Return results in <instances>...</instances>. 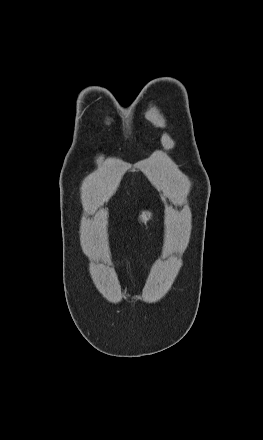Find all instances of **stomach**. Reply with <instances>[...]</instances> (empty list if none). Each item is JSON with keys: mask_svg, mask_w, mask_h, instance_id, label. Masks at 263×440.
Instances as JSON below:
<instances>
[{"mask_svg": "<svg viewBox=\"0 0 263 440\" xmlns=\"http://www.w3.org/2000/svg\"><path fill=\"white\" fill-rule=\"evenodd\" d=\"M152 218L151 211H142L139 215L140 222L147 223Z\"/></svg>", "mask_w": 263, "mask_h": 440, "instance_id": "stomach-1", "label": "stomach"}]
</instances>
